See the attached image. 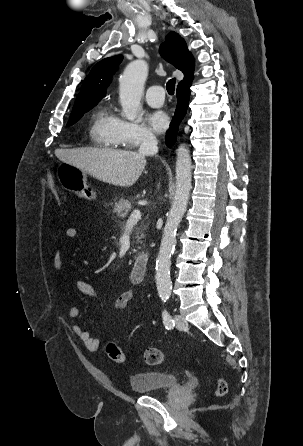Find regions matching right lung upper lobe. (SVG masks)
<instances>
[{
  "label": "right lung upper lobe",
  "instance_id": "right-lung-upper-lobe-1",
  "mask_svg": "<svg viewBox=\"0 0 303 446\" xmlns=\"http://www.w3.org/2000/svg\"><path fill=\"white\" fill-rule=\"evenodd\" d=\"M160 52L164 58L183 72L184 78L178 85L193 79L194 58L188 51L183 38L177 33L170 32L166 36V41L161 44ZM122 59V55L106 58L98 62L92 68L82 84L81 91L76 98L73 110L88 105H97L105 95L111 77L117 71Z\"/></svg>",
  "mask_w": 303,
  "mask_h": 446
}]
</instances>
